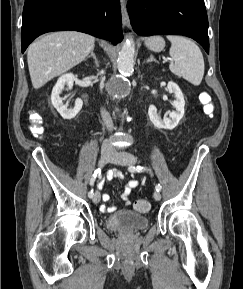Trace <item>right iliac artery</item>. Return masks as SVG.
I'll return each mask as SVG.
<instances>
[{
  "mask_svg": "<svg viewBox=\"0 0 243 289\" xmlns=\"http://www.w3.org/2000/svg\"><path fill=\"white\" fill-rule=\"evenodd\" d=\"M100 173H101V169H100V168H98L97 170H95V172L93 173V175L91 176V179H90V185H91V186L94 184L97 176L100 175ZM93 195H94L93 189H91V190L89 191V193H88V196H89V198H92Z\"/></svg>",
  "mask_w": 243,
  "mask_h": 289,
  "instance_id": "1",
  "label": "right iliac artery"
}]
</instances>
